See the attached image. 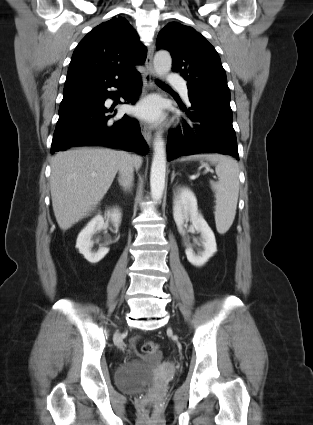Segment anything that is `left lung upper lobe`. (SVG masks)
I'll return each mask as SVG.
<instances>
[{"instance_id":"obj_1","label":"left lung upper lobe","mask_w":313,"mask_h":425,"mask_svg":"<svg viewBox=\"0 0 313 425\" xmlns=\"http://www.w3.org/2000/svg\"><path fill=\"white\" fill-rule=\"evenodd\" d=\"M157 49L172 56V70L188 81V95L230 100L225 70L214 47L192 27L171 22L158 34Z\"/></svg>"}]
</instances>
